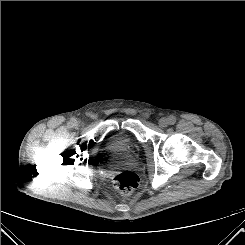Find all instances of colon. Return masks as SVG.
<instances>
[{
  "label": "colon",
  "mask_w": 245,
  "mask_h": 245,
  "mask_svg": "<svg viewBox=\"0 0 245 245\" xmlns=\"http://www.w3.org/2000/svg\"><path fill=\"white\" fill-rule=\"evenodd\" d=\"M112 183L118 192L129 195L138 187L139 178L132 171H121L114 175Z\"/></svg>",
  "instance_id": "obj_1"
}]
</instances>
